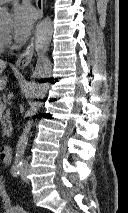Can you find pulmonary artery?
Listing matches in <instances>:
<instances>
[{
	"mask_svg": "<svg viewBox=\"0 0 128 213\" xmlns=\"http://www.w3.org/2000/svg\"><path fill=\"white\" fill-rule=\"evenodd\" d=\"M8 1H11V0H0V4L8 2Z\"/></svg>",
	"mask_w": 128,
	"mask_h": 213,
	"instance_id": "e3ab8cb5",
	"label": "pulmonary artery"
}]
</instances>
